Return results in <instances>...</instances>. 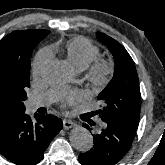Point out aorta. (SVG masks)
<instances>
[{"instance_id": "obj_1", "label": "aorta", "mask_w": 165, "mask_h": 165, "mask_svg": "<svg viewBox=\"0 0 165 165\" xmlns=\"http://www.w3.org/2000/svg\"><path fill=\"white\" fill-rule=\"evenodd\" d=\"M42 76L49 83L60 84L65 78V66L63 62L52 60L47 62L42 68ZM71 145L78 151L86 152L93 146L91 133L82 126H76L70 132Z\"/></svg>"}]
</instances>
